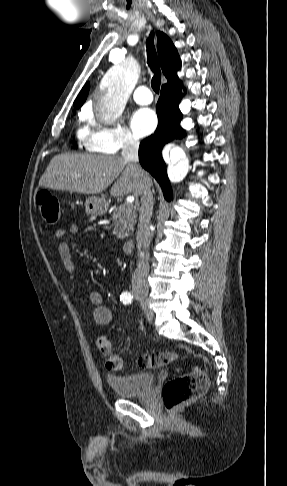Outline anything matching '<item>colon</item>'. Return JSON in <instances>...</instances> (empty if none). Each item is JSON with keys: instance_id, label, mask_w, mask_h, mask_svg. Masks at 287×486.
Returning a JSON list of instances; mask_svg holds the SVG:
<instances>
[{"instance_id": "1", "label": "colon", "mask_w": 287, "mask_h": 486, "mask_svg": "<svg viewBox=\"0 0 287 486\" xmlns=\"http://www.w3.org/2000/svg\"><path fill=\"white\" fill-rule=\"evenodd\" d=\"M36 200L43 220L49 224H55L60 217L58 199L48 190H41L38 192ZM95 343L97 349L103 355L105 367L112 371L121 370L123 360L112 351L110 339L106 335H99ZM177 359L178 354L175 352H156L141 356L138 359V365L144 369H153L165 366ZM207 386V377L199 369L168 380L162 390L166 410L173 414L179 407L204 393Z\"/></svg>"}]
</instances>
